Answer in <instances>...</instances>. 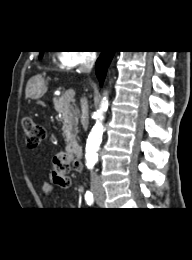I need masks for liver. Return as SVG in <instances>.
I'll use <instances>...</instances> for the list:
<instances>
[{
	"label": "liver",
	"instance_id": "1",
	"mask_svg": "<svg viewBox=\"0 0 192 260\" xmlns=\"http://www.w3.org/2000/svg\"><path fill=\"white\" fill-rule=\"evenodd\" d=\"M26 96L28 97V95H27V89H26Z\"/></svg>",
	"mask_w": 192,
	"mask_h": 260
}]
</instances>
